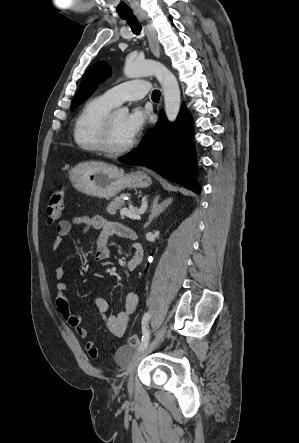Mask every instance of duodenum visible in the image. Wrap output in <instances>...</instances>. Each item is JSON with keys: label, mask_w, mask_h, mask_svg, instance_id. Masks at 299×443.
I'll return each instance as SVG.
<instances>
[{"label": "duodenum", "mask_w": 299, "mask_h": 443, "mask_svg": "<svg viewBox=\"0 0 299 443\" xmlns=\"http://www.w3.org/2000/svg\"><path fill=\"white\" fill-rule=\"evenodd\" d=\"M136 233L133 231V232H131V234H130V238L131 239H136ZM137 248L139 249V250H141V248H140V246H137Z\"/></svg>", "instance_id": "duodenum-1"}]
</instances>
